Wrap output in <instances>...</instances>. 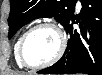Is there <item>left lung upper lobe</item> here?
<instances>
[{"label":"left lung upper lobe","instance_id":"obj_1","mask_svg":"<svg viewBox=\"0 0 102 75\" xmlns=\"http://www.w3.org/2000/svg\"><path fill=\"white\" fill-rule=\"evenodd\" d=\"M76 2L77 0H10L9 39L23 25L36 18L54 17L64 27L74 13Z\"/></svg>","mask_w":102,"mask_h":75}]
</instances>
